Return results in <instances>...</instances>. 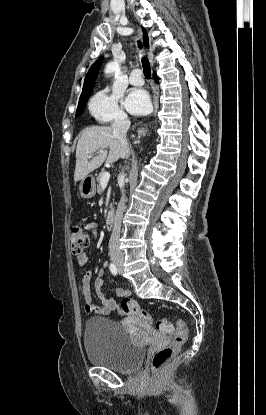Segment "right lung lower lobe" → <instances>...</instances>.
<instances>
[{
    "label": "right lung lower lobe",
    "mask_w": 266,
    "mask_h": 415,
    "mask_svg": "<svg viewBox=\"0 0 266 415\" xmlns=\"http://www.w3.org/2000/svg\"><path fill=\"white\" fill-rule=\"evenodd\" d=\"M153 79H154L156 82H158V78H157L156 74H154V75H153Z\"/></svg>",
    "instance_id": "obj_1"
}]
</instances>
